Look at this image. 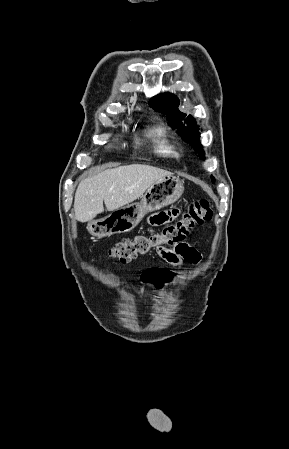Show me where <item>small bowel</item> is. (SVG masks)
<instances>
[{
	"instance_id": "1",
	"label": "small bowel",
	"mask_w": 289,
	"mask_h": 449,
	"mask_svg": "<svg viewBox=\"0 0 289 449\" xmlns=\"http://www.w3.org/2000/svg\"><path fill=\"white\" fill-rule=\"evenodd\" d=\"M177 213V210L159 213L150 217L149 223L154 226L169 222L177 215ZM157 254L166 263L175 268H180L185 263L197 264L201 260L200 253L193 246L187 243H181L172 247H159L157 249Z\"/></svg>"
}]
</instances>
